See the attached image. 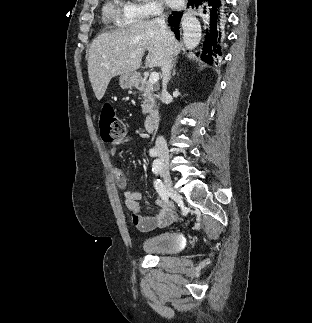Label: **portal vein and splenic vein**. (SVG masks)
Instances as JSON below:
<instances>
[{
	"instance_id": "portal-vein-and-splenic-vein-1",
	"label": "portal vein and splenic vein",
	"mask_w": 312,
	"mask_h": 323,
	"mask_svg": "<svg viewBox=\"0 0 312 323\" xmlns=\"http://www.w3.org/2000/svg\"><path fill=\"white\" fill-rule=\"evenodd\" d=\"M131 58H136V54H131ZM158 80H159V74H157V72H152L149 78L150 84H155V82H158Z\"/></svg>"
}]
</instances>
